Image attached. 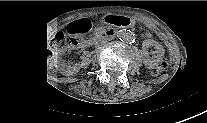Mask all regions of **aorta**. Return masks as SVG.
I'll return each instance as SVG.
<instances>
[{
  "instance_id": "aorta-1",
  "label": "aorta",
  "mask_w": 207,
  "mask_h": 123,
  "mask_svg": "<svg viewBox=\"0 0 207 123\" xmlns=\"http://www.w3.org/2000/svg\"><path fill=\"white\" fill-rule=\"evenodd\" d=\"M120 39L128 44H132L135 42V34L131 31H123L120 34Z\"/></svg>"
}]
</instances>
